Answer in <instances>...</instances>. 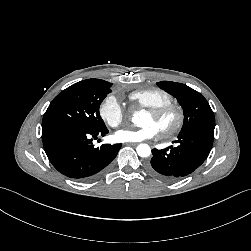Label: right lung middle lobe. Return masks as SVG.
I'll use <instances>...</instances> for the list:
<instances>
[{
    "label": "right lung middle lobe",
    "instance_id": "1",
    "mask_svg": "<svg viewBox=\"0 0 251 251\" xmlns=\"http://www.w3.org/2000/svg\"><path fill=\"white\" fill-rule=\"evenodd\" d=\"M112 83L100 79H87L71 85L57 95L46 110L42 129L71 126L84 129L105 127L100 117L101 102L111 92Z\"/></svg>",
    "mask_w": 251,
    "mask_h": 251
}]
</instances>
